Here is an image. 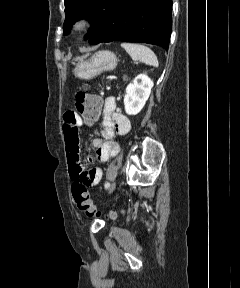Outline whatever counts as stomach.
<instances>
[{
  "mask_svg": "<svg viewBox=\"0 0 240 288\" xmlns=\"http://www.w3.org/2000/svg\"><path fill=\"white\" fill-rule=\"evenodd\" d=\"M117 63L118 59L113 52L98 51L89 59L86 57L77 58L74 62L73 73L75 77L90 79L102 71L115 69Z\"/></svg>",
  "mask_w": 240,
  "mask_h": 288,
  "instance_id": "obj_1",
  "label": "stomach"
}]
</instances>
